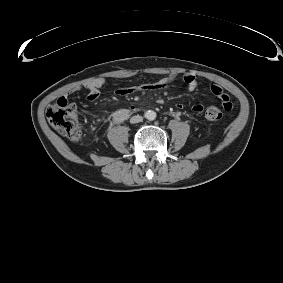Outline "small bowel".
I'll use <instances>...</instances> for the list:
<instances>
[{"label":"small bowel","mask_w":283,"mask_h":283,"mask_svg":"<svg viewBox=\"0 0 283 283\" xmlns=\"http://www.w3.org/2000/svg\"><path fill=\"white\" fill-rule=\"evenodd\" d=\"M177 78L178 75L171 74L152 83L118 88L116 90V93L120 96L128 97L137 93L145 94V93L158 92L170 88L174 84ZM182 81L188 91H193L198 86V81L196 76L191 73L184 74L182 76ZM104 83H105L104 79L96 78L85 84L84 89L87 91V99L90 101H94L97 98H99V96L101 95V88L103 87ZM211 92L218 97L225 111H227V109L231 110L232 103L230 97L220 86L218 85L211 86ZM176 109L177 112L181 111L183 109V105L177 104ZM135 110H136L135 107L133 106L129 107V111H135ZM203 110H204V106L201 104H195L192 107V111L195 113H202Z\"/></svg>","instance_id":"small-bowel-1"}]
</instances>
